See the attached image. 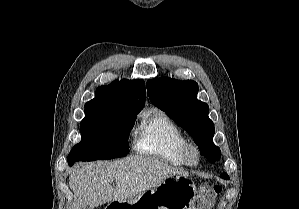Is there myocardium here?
<instances>
[{"mask_svg":"<svg viewBox=\"0 0 299 209\" xmlns=\"http://www.w3.org/2000/svg\"><path fill=\"white\" fill-rule=\"evenodd\" d=\"M184 160L186 165L197 166L201 161V151L195 143H189L184 149Z\"/></svg>","mask_w":299,"mask_h":209,"instance_id":"myocardium-1","label":"myocardium"}]
</instances>
